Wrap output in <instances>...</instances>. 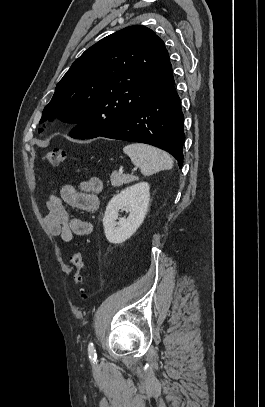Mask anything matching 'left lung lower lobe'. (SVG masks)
Wrapping results in <instances>:
<instances>
[{"instance_id": "obj_1", "label": "left lung lower lobe", "mask_w": 265, "mask_h": 407, "mask_svg": "<svg viewBox=\"0 0 265 407\" xmlns=\"http://www.w3.org/2000/svg\"><path fill=\"white\" fill-rule=\"evenodd\" d=\"M184 116L174 79L101 137L150 144L171 153L182 167Z\"/></svg>"}]
</instances>
